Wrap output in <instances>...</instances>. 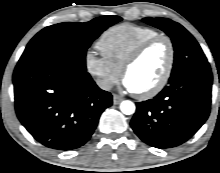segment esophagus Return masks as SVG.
Masks as SVG:
<instances>
[{
	"instance_id": "1",
	"label": "esophagus",
	"mask_w": 220,
	"mask_h": 173,
	"mask_svg": "<svg viewBox=\"0 0 220 173\" xmlns=\"http://www.w3.org/2000/svg\"><path fill=\"white\" fill-rule=\"evenodd\" d=\"M122 100H123V98L120 97L119 95H117V94L113 95V103L114 104H119Z\"/></svg>"
}]
</instances>
